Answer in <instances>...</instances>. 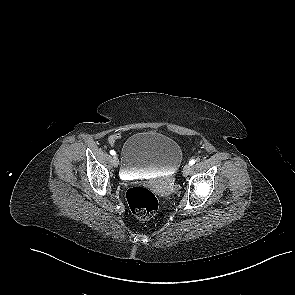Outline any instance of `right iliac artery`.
Listing matches in <instances>:
<instances>
[{"label":"right iliac artery","instance_id":"1","mask_svg":"<svg viewBox=\"0 0 295 295\" xmlns=\"http://www.w3.org/2000/svg\"><path fill=\"white\" fill-rule=\"evenodd\" d=\"M110 154H111V155H115L116 152H115L114 150H110Z\"/></svg>","mask_w":295,"mask_h":295}]
</instances>
